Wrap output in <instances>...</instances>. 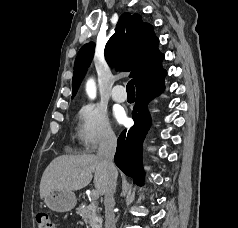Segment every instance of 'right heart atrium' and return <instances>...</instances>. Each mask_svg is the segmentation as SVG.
<instances>
[{
    "label": "right heart atrium",
    "instance_id": "right-heart-atrium-1",
    "mask_svg": "<svg viewBox=\"0 0 238 228\" xmlns=\"http://www.w3.org/2000/svg\"><path fill=\"white\" fill-rule=\"evenodd\" d=\"M76 136L86 152H94L102 146L114 144L117 140L106 112L92 103L83 105L78 111Z\"/></svg>",
    "mask_w": 238,
    "mask_h": 228
}]
</instances>
